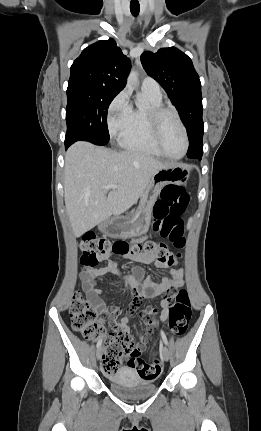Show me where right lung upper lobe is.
<instances>
[{"mask_svg":"<svg viewBox=\"0 0 261 431\" xmlns=\"http://www.w3.org/2000/svg\"><path fill=\"white\" fill-rule=\"evenodd\" d=\"M131 69L130 59L113 39L98 41L85 48L71 66L69 82L84 81L121 91Z\"/></svg>","mask_w":261,"mask_h":431,"instance_id":"1","label":"right lung upper lobe"}]
</instances>
